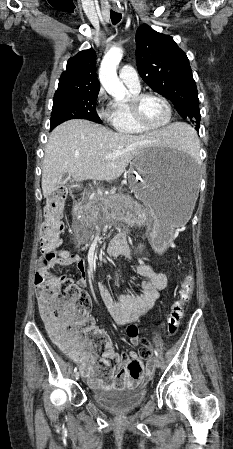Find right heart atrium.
I'll use <instances>...</instances> for the list:
<instances>
[{
	"label": "right heart atrium",
	"mask_w": 233,
	"mask_h": 449,
	"mask_svg": "<svg viewBox=\"0 0 233 449\" xmlns=\"http://www.w3.org/2000/svg\"><path fill=\"white\" fill-rule=\"evenodd\" d=\"M105 98H106L105 89L104 88H100L99 91H98V94H97V100L98 101H102ZM105 115H106V112H104V111L100 113L101 117H104Z\"/></svg>",
	"instance_id": "right-heart-atrium-1"
}]
</instances>
